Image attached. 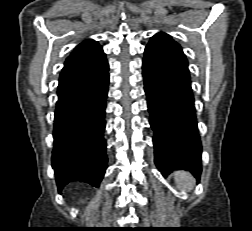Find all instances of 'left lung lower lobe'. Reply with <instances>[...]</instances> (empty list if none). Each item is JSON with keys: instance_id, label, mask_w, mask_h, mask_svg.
I'll return each mask as SVG.
<instances>
[{"instance_id": "left-lung-lower-lobe-1", "label": "left lung lower lobe", "mask_w": 252, "mask_h": 231, "mask_svg": "<svg viewBox=\"0 0 252 231\" xmlns=\"http://www.w3.org/2000/svg\"><path fill=\"white\" fill-rule=\"evenodd\" d=\"M143 77L154 130L155 163L163 176L173 170L201 174V142L188 62L181 46L166 33L145 48Z\"/></svg>"}]
</instances>
